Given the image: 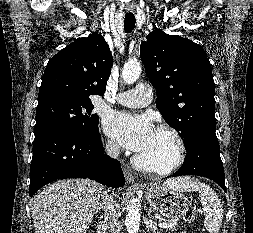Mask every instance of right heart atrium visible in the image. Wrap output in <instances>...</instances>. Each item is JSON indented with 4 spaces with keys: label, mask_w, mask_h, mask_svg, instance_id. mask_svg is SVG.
Segmentation results:
<instances>
[{
    "label": "right heart atrium",
    "mask_w": 253,
    "mask_h": 233,
    "mask_svg": "<svg viewBox=\"0 0 253 233\" xmlns=\"http://www.w3.org/2000/svg\"><path fill=\"white\" fill-rule=\"evenodd\" d=\"M106 150L110 154H116L119 150V147H118L117 143L114 140L109 139L106 142Z\"/></svg>",
    "instance_id": "obj_1"
}]
</instances>
